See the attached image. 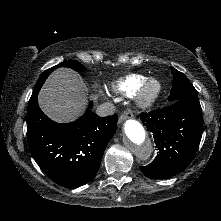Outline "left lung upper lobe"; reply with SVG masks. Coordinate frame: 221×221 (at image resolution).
I'll use <instances>...</instances> for the list:
<instances>
[{"label": "left lung upper lobe", "instance_id": "1", "mask_svg": "<svg viewBox=\"0 0 221 221\" xmlns=\"http://www.w3.org/2000/svg\"><path fill=\"white\" fill-rule=\"evenodd\" d=\"M171 71L173 74V83L169 101L173 103L179 100H185L193 104H200L197 91L188 78L175 68H171Z\"/></svg>", "mask_w": 221, "mask_h": 221}]
</instances>
